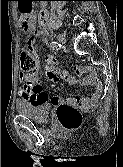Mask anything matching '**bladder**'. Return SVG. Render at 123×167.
I'll return each instance as SVG.
<instances>
[{
    "mask_svg": "<svg viewBox=\"0 0 123 167\" xmlns=\"http://www.w3.org/2000/svg\"><path fill=\"white\" fill-rule=\"evenodd\" d=\"M52 104L49 102L33 103L19 100L16 103L18 113L36 122H47L50 118Z\"/></svg>",
    "mask_w": 123,
    "mask_h": 167,
    "instance_id": "1",
    "label": "bladder"
}]
</instances>
